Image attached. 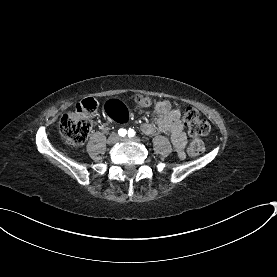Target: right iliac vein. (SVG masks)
<instances>
[{"instance_id":"1","label":"right iliac vein","mask_w":277,"mask_h":277,"mask_svg":"<svg viewBox=\"0 0 277 277\" xmlns=\"http://www.w3.org/2000/svg\"><path fill=\"white\" fill-rule=\"evenodd\" d=\"M119 141V136L117 134H111L108 138V144H115Z\"/></svg>"}]
</instances>
